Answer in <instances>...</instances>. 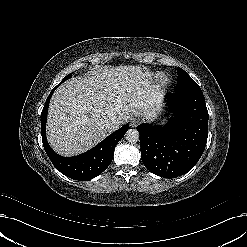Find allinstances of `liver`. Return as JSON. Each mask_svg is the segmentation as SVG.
I'll list each match as a JSON object with an SVG mask.
<instances>
[{"label":"liver","mask_w":247,"mask_h":247,"mask_svg":"<svg viewBox=\"0 0 247 247\" xmlns=\"http://www.w3.org/2000/svg\"><path fill=\"white\" fill-rule=\"evenodd\" d=\"M159 93L143 78L138 66L95 67L74 77L54 92L48 110L47 140L62 156L81 154L112 131L104 124L111 118L126 123L132 116L153 119Z\"/></svg>","instance_id":"1"}]
</instances>
